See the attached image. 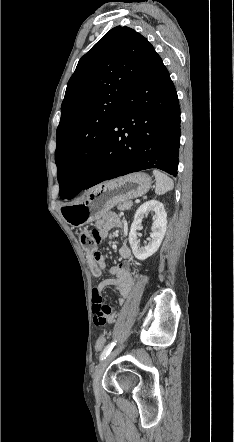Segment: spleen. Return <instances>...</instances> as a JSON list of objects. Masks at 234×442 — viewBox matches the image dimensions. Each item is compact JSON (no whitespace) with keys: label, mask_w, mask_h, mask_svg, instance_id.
<instances>
[{"label":"spleen","mask_w":234,"mask_h":442,"mask_svg":"<svg viewBox=\"0 0 234 442\" xmlns=\"http://www.w3.org/2000/svg\"><path fill=\"white\" fill-rule=\"evenodd\" d=\"M153 175L155 176L156 180L155 193L157 195H162L173 189L174 183L172 179L168 177L165 173H162L161 171L154 169Z\"/></svg>","instance_id":"3e777b00"}]
</instances>
